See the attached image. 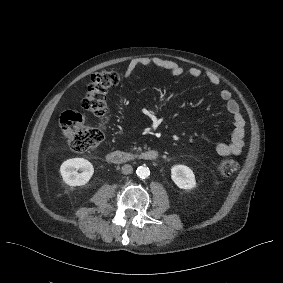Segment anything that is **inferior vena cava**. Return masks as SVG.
Masks as SVG:
<instances>
[{"label":"inferior vena cava","mask_w":283,"mask_h":283,"mask_svg":"<svg viewBox=\"0 0 283 283\" xmlns=\"http://www.w3.org/2000/svg\"><path fill=\"white\" fill-rule=\"evenodd\" d=\"M132 172H133V169L130 165L125 164L121 167V173L124 175L131 174Z\"/></svg>","instance_id":"obj_1"}]
</instances>
